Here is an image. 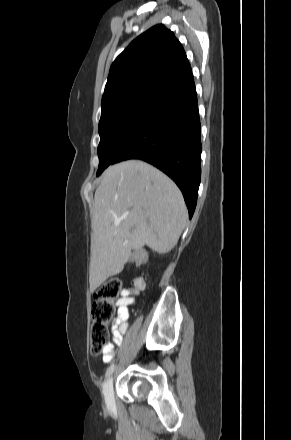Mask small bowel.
<instances>
[{
    "mask_svg": "<svg viewBox=\"0 0 291 440\" xmlns=\"http://www.w3.org/2000/svg\"><path fill=\"white\" fill-rule=\"evenodd\" d=\"M132 301V298L129 294H123L122 297L117 301V314L114 320L110 325V329L113 335V341L106 348L103 360L105 362H109L114 357V349L116 345H120L123 340L126 332L129 328V310L128 305Z\"/></svg>",
    "mask_w": 291,
    "mask_h": 440,
    "instance_id": "small-bowel-1",
    "label": "small bowel"
}]
</instances>
